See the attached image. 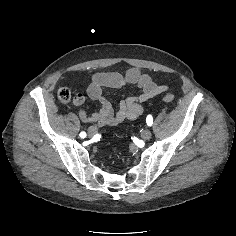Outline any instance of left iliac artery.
I'll list each match as a JSON object with an SVG mask.
<instances>
[{
  "instance_id": "obj_1",
  "label": "left iliac artery",
  "mask_w": 236,
  "mask_h": 236,
  "mask_svg": "<svg viewBox=\"0 0 236 236\" xmlns=\"http://www.w3.org/2000/svg\"><path fill=\"white\" fill-rule=\"evenodd\" d=\"M146 122L148 126H151L153 124V118L151 115H148L146 118Z\"/></svg>"
}]
</instances>
